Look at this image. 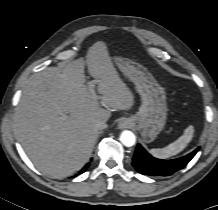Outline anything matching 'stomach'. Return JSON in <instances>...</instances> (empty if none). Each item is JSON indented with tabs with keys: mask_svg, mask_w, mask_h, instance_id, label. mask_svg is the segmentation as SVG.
Segmentation results:
<instances>
[{
	"mask_svg": "<svg viewBox=\"0 0 218 210\" xmlns=\"http://www.w3.org/2000/svg\"><path fill=\"white\" fill-rule=\"evenodd\" d=\"M118 68L136 86L141 96L139 111L130 117L133 126L146 142H152L165 126L167 104L164 89L140 64L129 59L114 58Z\"/></svg>",
	"mask_w": 218,
	"mask_h": 210,
	"instance_id": "stomach-1",
	"label": "stomach"
}]
</instances>
